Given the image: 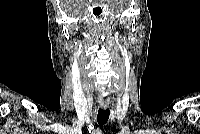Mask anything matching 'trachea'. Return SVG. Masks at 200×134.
<instances>
[{
    "instance_id": "obj_1",
    "label": "trachea",
    "mask_w": 200,
    "mask_h": 134,
    "mask_svg": "<svg viewBox=\"0 0 200 134\" xmlns=\"http://www.w3.org/2000/svg\"><path fill=\"white\" fill-rule=\"evenodd\" d=\"M109 119V110L108 109H99L97 115V121L100 126H103L107 123Z\"/></svg>"
}]
</instances>
